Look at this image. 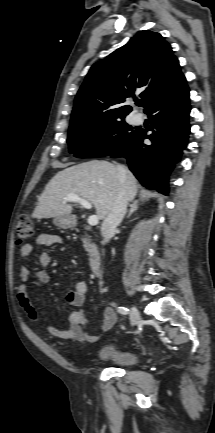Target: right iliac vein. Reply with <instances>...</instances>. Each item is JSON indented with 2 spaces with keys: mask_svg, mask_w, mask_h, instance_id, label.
I'll list each match as a JSON object with an SVG mask.
<instances>
[{
  "mask_svg": "<svg viewBox=\"0 0 215 433\" xmlns=\"http://www.w3.org/2000/svg\"><path fill=\"white\" fill-rule=\"evenodd\" d=\"M130 320H131L132 326L137 325L139 320H140V312L135 305H133L131 308Z\"/></svg>",
  "mask_w": 215,
  "mask_h": 433,
  "instance_id": "right-iliac-vein-1",
  "label": "right iliac vein"
}]
</instances>
